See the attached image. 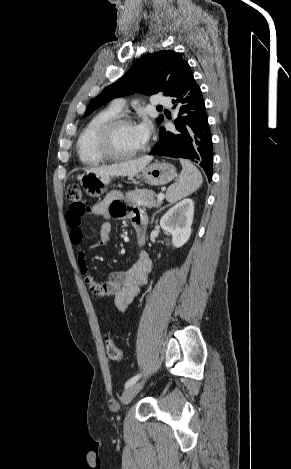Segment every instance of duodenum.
Returning a JSON list of instances; mask_svg holds the SVG:
<instances>
[{
  "instance_id": "duodenum-1",
  "label": "duodenum",
  "mask_w": 291,
  "mask_h": 469,
  "mask_svg": "<svg viewBox=\"0 0 291 469\" xmlns=\"http://www.w3.org/2000/svg\"><path fill=\"white\" fill-rule=\"evenodd\" d=\"M136 232H137V240L139 244H142L145 239V233L142 229H136Z\"/></svg>"
}]
</instances>
